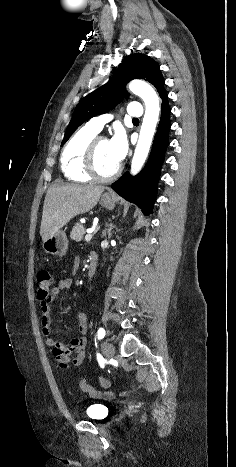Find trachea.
Wrapping results in <instances>:
<instances>
[{
    "instance_id": "obj_1",
    "label": "trachea",
    "mask_w": 236,
    "mask_h": 467,
    "mask_svg": "<svg viewBox=\"0 0 236 467\" xmlns=\"http://www.w3.org/2000/svg\"><path fill=\"white\" fill-rule=\"evenodd\" d=\"M133 121H137V122H138V121H139V119H137V118H133Z\"/></svg>"
}]
</instances>
